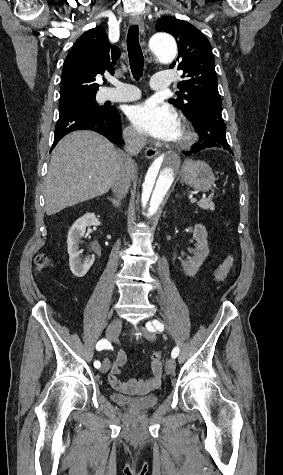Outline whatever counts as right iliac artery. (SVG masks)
<instances>
[{"mask_svg": "<svg viewBox=\"0 0 283 475\" xmlns=\"http://www.w3.org/2000/svg\"><path fill=\"white\" fill-rule=\"evenodd\" d=\"M108 343L109 342L106 339H102V340L98 341V343L96 344V349L100 351V350L106 348ZM100 366H101V363L99 361L94 362V367L95 368H100Z\"/></svg>", "mask_w": 283, "mask_h": 475, "instance_id": "obj_1", "label": "right iliac artery"}]
</instances>
